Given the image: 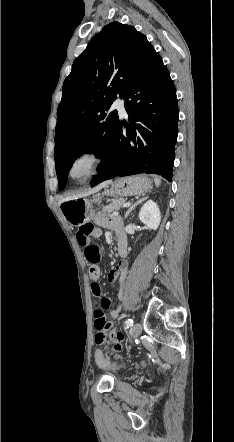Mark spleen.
I'll list each match as a JSON object with an SVG mask.
<instances>
[{"mask_svg": "<svg viewBox=\"0 0 234 442\" xmlns=\"http://www.w3.org/2000/svg\"><path fill=\"white\" fill-rule=\"evenodd\" d=\"M154 182L157 187L161 184V180L157 176L154 177Z\"/></svg>", "mask_w": 234, "mask_h": 442, "instance_id": "spleen-1", "label": "spleen"}]
</instances>
